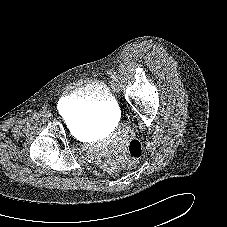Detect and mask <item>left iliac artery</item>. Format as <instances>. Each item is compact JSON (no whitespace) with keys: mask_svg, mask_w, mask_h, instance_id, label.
Wrapping results in <instances>:
<instances>
[{"mask_svg":"<svg viewBox=\"0 0 227 227\" xmlns=\"http://www.w3.org/2000/svg\"><path fill=\"white\" fill-rule=\"evenodd\" d=\"M111 78H112L113 80H115V81H117V80H118V77H117V75H116V74H112V75H111Z\"/></svg>","mask_w":227,"mask_h":227,"instance_id":"44dca946","label":"left iliac artery"}]
</instances>
